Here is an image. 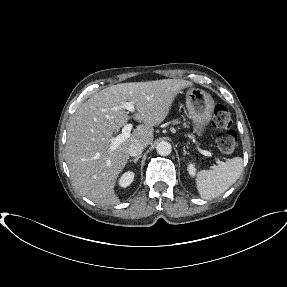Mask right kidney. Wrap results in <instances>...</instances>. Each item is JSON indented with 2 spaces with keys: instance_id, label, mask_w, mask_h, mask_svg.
<instances>
[{
  "instance_id": "1",
  "label": "right kidney",
  "mask_w": 287,
  "mask_h": 287,
  "mask_svg": "<svg viewBox=\"0 0 287 287\" xmlns=\"http://www.w3.org/2000/svg\"><path fill=\"white\" fill-rule=\"evenodd\" d=\"M133 180H134V173L128 171L121 176L119 180V185L125 188L129 186L133 182Z\"/></svg>"
}]
</instances>
